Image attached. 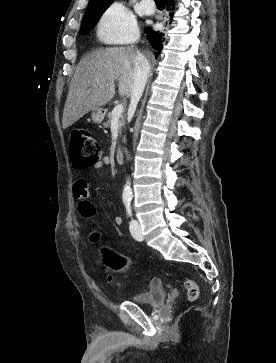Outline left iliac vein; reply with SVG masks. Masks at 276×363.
I'll return each instance as SVG.
<instances>
[{
	"instance_id": "1",
	"label": "left iliac vein",
	"mask_w": 276,
	"mask_h": 363,
	"mask_svg": "<svg viewBox=\"0 0 276 363\" xmlns=\"http://www.w3.org/2000/svg\"><path fill=\"white\" fill-rule=\"evenodd\" d=\"M130 233L135 240L143 239L140 223L135 219L130 221Z\"/></svg>"
}]
</instances>
